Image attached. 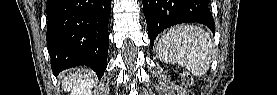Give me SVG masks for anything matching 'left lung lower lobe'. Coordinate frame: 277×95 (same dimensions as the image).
<instances>
[{
  "label": "left lung lower lobe",
  "mask_w": 277,
  "mask_h": 95,
  "mask_svg": "<svg viewBox=\"0 0 277 95\" xmlns=\"http://www.w3.org/2000/svg\"><path fill=\"white\" fill-rule=\"evenodd\" d=\"M151 48L164 29L187 22H198L214 30L209 0H142Z\"/></svg>",
  "instance_id": "1"
}]
</instances>
